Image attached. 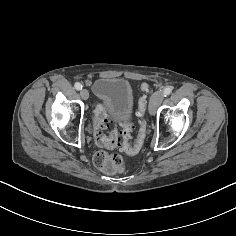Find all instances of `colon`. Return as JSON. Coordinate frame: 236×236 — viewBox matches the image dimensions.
Segmentation results:
<instances>
[{
  "label": "colon",
  "mask_w": 236,
  "mask_h": 236,
  "mask_svg": "<svg viewBox=\"0 0 236 236\" xmlns=\"http://www.w3.org/2000/svg\"><path fill=\"white\" fill-rule=\"evenodd\" d=\"M140 89L144 96L139 99L137 114L140 117L139 132L134 144H130L128 139L132 130V123L125 121L120 129H113L108 134L104 130L108 126L109 116L104 106L98 105L95 109L94 116V139L97 146L107 148H124L129 152L139 151L146 139L147 135V122L145 119L146 112V97L145 94L150 92V86L146 83L141 84ZM93 162L97 168L106 172L114 173L123 170L124 159L117 153H109L100 151L95 154Z\"/></svg>",
  "instance_id": "colon-1"
}]
</instances>
